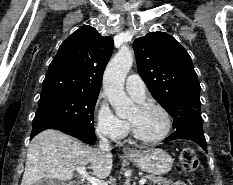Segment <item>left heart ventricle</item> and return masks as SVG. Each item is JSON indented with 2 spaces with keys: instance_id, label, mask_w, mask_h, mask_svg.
<instances>
[{
  "instance_id": "obj_1",
  "label": "left heart ventricle",
  "mask_w": 233,
  "mask_h": 185,
  "mask_svg": "<svg viewBox=\"0 0 233 185\" xmlns=\"http://www.w3.org/2000/svg\"><path fill=\"white\" fill-rule=\"evenodd\" d=\"M128 120L131 121L140 135L146 138H155L166 128V119L157 108L140 109L137 106L130 112Z\"/></svg>"
}]
</instances>
